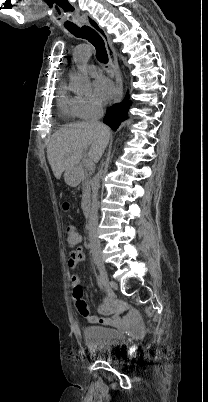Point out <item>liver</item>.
Returning <instances> with one entry per match:
<instances>
[{"label": "liver", "instance_id": "6515ba94", "mask_svg": "<svg viewBox=\"0 0 208 402\" xmlns=\"http://www.w3.org/2000/svg\"><path fill=\"white\" fill-rule=\"evenodd\" d=\"M109 138L107 126H96L91 122L69 124L55 132L47 146V158L55 178L60 180L64 170L75 168L89 146L90 160L99 162Z\"/></svg>", "mask_w": 208, "mask_h": 402}]
</instances>
